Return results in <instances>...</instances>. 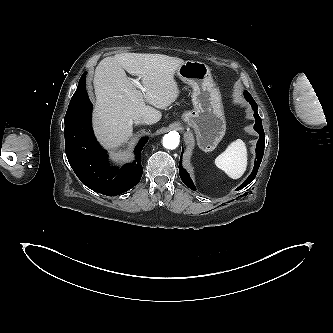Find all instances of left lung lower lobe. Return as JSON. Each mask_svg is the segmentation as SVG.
I'll return each instance as SVG.
<instances>
[{
    "mask_svg": "<svg viewBox=\"0 0 333 333\" xmlns=\"http://www.w3.org/2000/svg\"><path fill=\"white\" fill-rule=\"evenodd\" d=\"M244 95H245L246 100L248 102H250V104L252 105V108L255 111L254 117L256 119V123L254 125V128L260 134V138L257 142V147H256V161H255L254 169H253L251 175L237 189H241V188L247 186L255 178L258 167L260 166V163H261V160L263 157L264 142H265V135H264L263 127H262L261 118L259 117L258 112H257V108H258L257 104L255 103L252 96L247 91L244 92ZM179 173H180L181 180L184 182V184L186 186H188L190 189L196 190L191 178L189 177V174L181 166V158H180V164H179Z\"/></svg>",
    "mask_w": 333,
    "mask_h": 333,
    "instance_id": "1",
    "label": "left lung lower lobe"
}]
</instances>
